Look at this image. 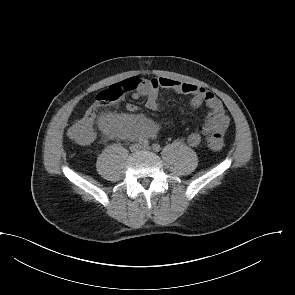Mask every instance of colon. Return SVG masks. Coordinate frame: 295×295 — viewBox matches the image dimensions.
Returning <instances> with one entry per match:
<instances>
[{
	"instance_id": "1",
	"label": "colon",
	"mask_w": 295,
	"mask_h": 295,
	"mask_svg": "<svg viewBox=\"0 0 295 295\" xmlns=\"http://www.w3.org/2000/svg\"><path fill=\"white\" fill-rule=\"evenodd\" d=\"M138 86V78H130L99 92L83 117L69 128L70 139L79 145L91 142L94 138V122L98 109L119 102L126 92L136 90ZM208 146L214 151H219L223 148L224 143L221 138L214 137L208 140Z\"/></svg>"
}]
</instances>
